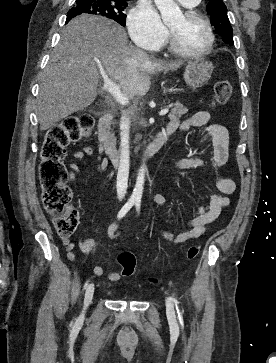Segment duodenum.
Returning <instances> with one entry per match:
<instances>
[{
    "instance_id": "obj_1",
    "label": "duodenum",
    "mask_w": 276,
    "mask_h": 363,
    "mask_svg": "<svg viewBox=\"0 0 276 363\" xmlns=\"http://www.w3.org/2000/svg\"><path fill=\"white\" fill-rule=\"evenodd\" d=\"M113 119V113L111 111H102L99 113L97 135L101 148L103 149L107 158L113 165H118L120 159V153L112 140L110 134V126ZM168 134L161 132L157 134L151 142L148 144L143 152L144 157H151L160 150L164 142L167 140Z\"/></svg>"
}]
</instances>
